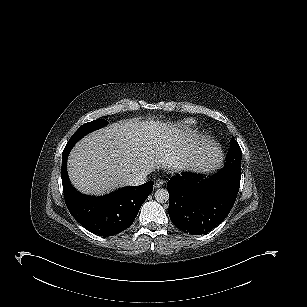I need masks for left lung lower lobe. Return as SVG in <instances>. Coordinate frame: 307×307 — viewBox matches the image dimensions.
<instances>
[{
    "label": "left lung lower lobe",
    "mask_w": 307,
    "mask_h": 307,
    "mask_svg": "<svg viewBox=\"0 0 307 307\" xmlns=\"http://www.w3.org/2000/svg\"><path fill=\"white\" fill-rule=\"evenodd\" d=\"M182 172L167 183L169 216L173 224L191 235H202L218 226L236 200L241 168L225 165L213 176Z\"/></svg>",
    "instance_id": "1"
}]
</instances>
